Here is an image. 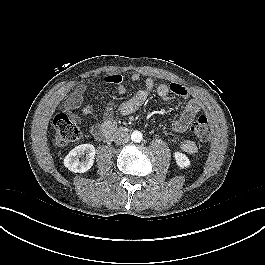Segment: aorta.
Wrapping results in <instances>:
<instances>
[{
  "label": "aorta",
  "mask_w": 265,
  "mask_h": 265,
  "mask_svg": "<svg viewBox=\"0 0 265 265\" xmlns=\"http://www.w3.org/2000/svg\"><path fill=\"white\" fill-rule=\"evenodd\" d=\"M131 140L133 142H140L142 140V133L140 131H133L131 134Z\"/></svg>",
  "instance_id": "obj_1"
}]
</instances>
